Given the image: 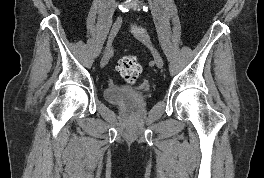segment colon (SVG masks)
Here are the masks:
<instances>
[{
    "label": "colon",
    "instance_id": "1",
    "mask_svg": "<svg viewBox=\"0 0 264 178\" xmlns=\"http://www.w3.org/2000/svg\"><path fill=\"white\" fill-rule=\"evenodd\" d=\"M117 70L123 79L129 83H134L138 79L142 67L135 56L127 55L118 61Z\"/></svg>",
    "mask_w": 264,
    "mask_h": 178
}]
</instances>
